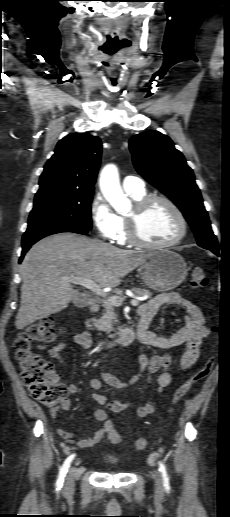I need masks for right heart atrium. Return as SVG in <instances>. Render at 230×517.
I'll return each mask as SVG.
<instances>
[{
	"label": "right heart atrium",
	"mask_w": 230,
	"mask_h": 517,
	"mask_svg": "<svg viewBox=\"0 0 230 517\" xmlns=\"http://www.w3.org/2000/svg\"><path fill=\"white\" fill-rule=\"evenodd\" d=\"M90 212L99 235L108 241L116 240L121 229L120 217L102 195L98 194L94 197Z\"/></svg>",
	"instance_id": "right-heart-atrium-1"
}]
</instances>
